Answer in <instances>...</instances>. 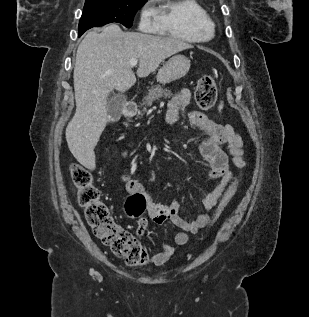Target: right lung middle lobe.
<instances>
[{
    "label": "right lung middle lobe",
    "instance_id": "1",
    "mask_svg": "<svg viewBox=\"0 0 309 317\" xmlns=\"http://www.w3.org/2000/svg\"><path fill=\"white\" fill-rule=\"evenodd\" d=\"M147 0H86L79 22V32L117 22L130 28L133 18Z\"/></svg>",
    "mask_w": 309,
    "mask_h": 317
}]
</instances>
